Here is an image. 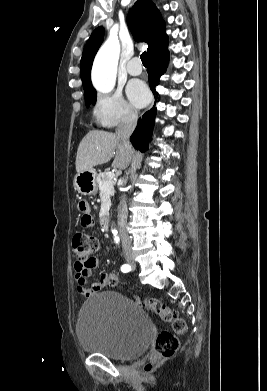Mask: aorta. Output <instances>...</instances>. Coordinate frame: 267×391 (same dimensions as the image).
I'll list each match as a JSON object with an SVG mask.
<instances>
[{
    "label": "aorta",
    "instance_id": "aorta-1",
    "mask_svg": "<svg viewBox=\"0 0 267 391\" xmlns=\"http://www.w3.org/2000/svg\"><path fill=\"white\" fill-rule=\"evenodd\" d=\"M119 55V40L110 36L99 49L92 67V82L97 91L106 94L114 89Z\"/></svg>",
    "mask_w": 267,
    "mask_h": 391
}]
</instances>
